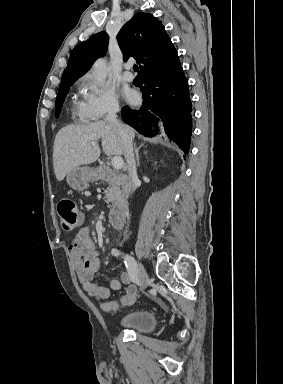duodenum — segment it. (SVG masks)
<instances>
[{
	"label": "duodenum",
	"instance_id": "410a0bca",
	"mask_svg": "<svg viewBox=\"0 0 283 384\" xmlns=\"http://www.w3.org/2000/svg\"><path fill=\"white\" fill-rule=\"evenodd\" d=\"M96 177L100 180H109L113 183L123 185L126 188L130 187L131 179L126 174H116L108 167H99L95 169ZM127 207L121 205L110 213V221L114 228L121 229L126 222Z\"/></svg>",
	"mask_w": 283,
	"mask_h": 384
}]
</instances>
